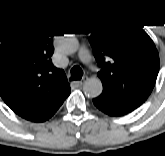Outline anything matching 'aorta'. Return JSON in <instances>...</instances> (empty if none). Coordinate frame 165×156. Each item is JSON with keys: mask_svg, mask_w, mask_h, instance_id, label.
Listing matches in <instances>:
<instances>
[{"mask_svg": "<svg viewBox=\"0 0 165 156\" xmlns=\"http://www.w3.org/2000/svg\"><path fill=\"white\" fill-rule=\"evenodd\" d=\"M58 46L62 52L71 54L79 49V42L72 35H65L60 39ZM102 90L103 86L101 80L95 77L88 79L83 86L85 95L91 98L99 96L102 93Z\"/></svg>", "mask_w": 165, "mask_h": 156, "instance_id": "762f6f07", "label": "aorta"}]
</instances>
